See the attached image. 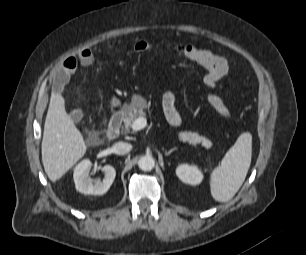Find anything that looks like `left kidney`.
Instances as JSON below:
<instances>
[{
    "label": "left kidney",
    "instance_id": "obj_1",
    "mask_svg": "<svg viewBox=\"0 0 306 255\" xmlns=\"http://www.w3.org/2000/svg\"><path fill=\"white\" fill-rule=\"evenodd\" d=\"M176 175L187 184L198 185L203 180V174L195 165L182 164L177 167Z\"/></svg>",
    "mask_w": 306,
    "mask_h": 255
}]
</instances>
